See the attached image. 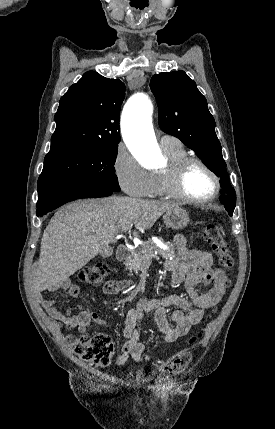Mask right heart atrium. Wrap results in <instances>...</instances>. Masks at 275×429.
Returning a JSON list of instances; mask_svg holds the SVG:
<instances>
[{
  "label": "right heart atrium",
  "instance_id": "1",
  "mask_svg": "<svg viewBox=\"0 0 275 429\" xmlns=\"http://www.w3.org/2000/svg\"><path fill=\"white\" fill-rule=\"evenodd\" d=\"M113 169L125 193L134 197L149 195L153 185V174L145 169L124 145L117 148Z\"/></svg>",
  "mask_w": 275,
  "mask_h": 429
}]
</instances>
